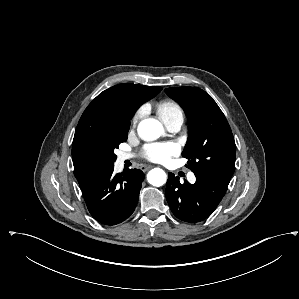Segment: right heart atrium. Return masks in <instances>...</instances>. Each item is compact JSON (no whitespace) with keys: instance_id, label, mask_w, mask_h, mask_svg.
Here are the masks:
<instances>
[{"instance_id":"obj_1","label":"right heart atrium","mask_w":299,"mask_h":299,"mask_svg":"<svg viewBox=\"0 0 299 299\" xmlns=\"http://www.w3.org/2000/svg\"><path fill=\"white\" fill-rule=\"evenodd\" d=\"M143 108H140L133 116L132 118V126L135 127L138 120L141 118V116L143 115Z\"/></svg>"}]
</instances>
